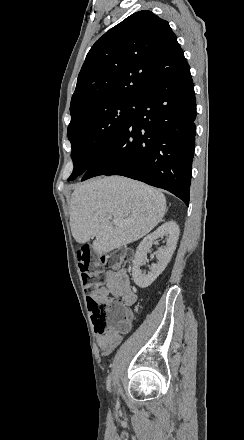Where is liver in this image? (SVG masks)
Segmentation results:
<instances>
[{"label":"liver","instance_id":"6515ba94","mask_svg":"<svg viewBox=\"0 0 244 440\" xmlns=\"http://www.w3.org/2000/svg\"><path fill=\"white\" fill-rule=\"evenodd\" d=\"M165 214L166 198L159 190L123 176H99L75 188L70 228L78 244H86L95 236L93 250L106 254L149 234ZM109 216L128 222L114 226Z\"/></svg>","mask_w":244,"mask_h":440}]
</instances>
